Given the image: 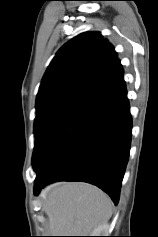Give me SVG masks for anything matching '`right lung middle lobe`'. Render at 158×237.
Wrapping results in <instances>:
<instances>
[{
	"label": "right lung middle lobe",
	"mask_w": 158,
	"mask_h": 237,
	"mask_svg": "<svg viewBox=\"0 0 158 237\" xmlns=\"http://www.w3.org/2000/svg\"><path fill=\"white\" fill-rule=\"evenodd\" d=\"M83 103L67 97L54 98L36 104L35 148L33 156L42 140L71 112Z\"/></svg>",
	"instance_id": "obj_1"
}]
</instances>
